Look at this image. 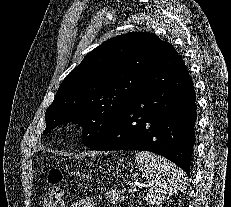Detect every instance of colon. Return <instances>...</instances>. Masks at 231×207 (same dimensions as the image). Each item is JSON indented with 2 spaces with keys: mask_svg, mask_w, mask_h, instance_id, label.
<instances>
[{
  "mask_svg": "<svg viewBox=\"0 0 231 207\" xmlns=\"http://www.w3.org/2000/svg\"><path fill=\"white\" fill-rule=\"evenodd\" d=\"M64 178V174L58 168H53L48 172L51 189L45 196L43 207H64L63 188L61 187Z\"/></svg>",
  "mask_w": 231,
  "mask_h": 207,
  "instance_id": "5ec220e1",
  "label": "colon"
}]
</instances>
